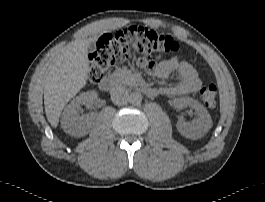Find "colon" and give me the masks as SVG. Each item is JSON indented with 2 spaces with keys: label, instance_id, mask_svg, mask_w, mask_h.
Here are the masks:
<instances>
[{
  "label": "colon",
  "instance_id": "colon-1",
  "mask_svg": "<svg viewBox=\"0 0 265 202\" xmlns=\"http://www.w3.org/2000/svg\"><path fill=\"white\" fill-rule=\"evenodd\" d=\"M180 43L171 36L138 26H131L111 34L102 35L89 54V79L98 83L116 62L136 59L146 69L155 66L156 55L174 54ZM199 97L207 107H215L217 88L213 84L201 87Z\"/></svg>",
  "mask_w": 265,
  "mask_h": 202
}]
</instances>
